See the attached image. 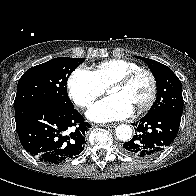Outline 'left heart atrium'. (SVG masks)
I'll return each mask as SVG.
<instances>
[{"label": "left heart atrium", "instance_id": "left-heart-atrium-1", "mask_svg": "<svg viewBox=\"0 0 196 196\" xmlns=\"http://www.w3.org/2000/svg\"><path fill=\"white\" fill-rule=\"evenodd\" d=\"M134 112V108L119 96H108L97 102L87 113L90 120L104 123L123 120Z\"/></svg>", "mask_w": 196, "mask_h": 196}]
</instances>
